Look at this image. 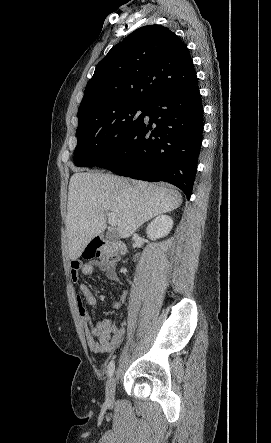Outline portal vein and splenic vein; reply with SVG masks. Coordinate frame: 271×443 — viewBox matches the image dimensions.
Here are the masks:
<instances>
[{"mask_svg":"<svg viewBox=\"0 0 271 443\" xmlns=\"http://www.w3.org/2000/svg\"><path fill=\"white\" fill-rule=\"evenodd\" d=\"M106 216L110 225H118V220H116V216L112 212H106Z\"/></svg>","mask_w":271,"mask_h":443,"instance_id":"1","label":"portal vein and splenic vein"}]
</instances>
